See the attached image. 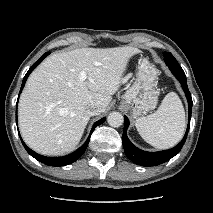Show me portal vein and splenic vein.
<instances>
[{"label":"portal vein and splenic vein","instance_id":"18ae733b","mask_svg":"<svg viewBox=\"0 0 213 213\" xmlns=\"http://www.w3.org/2000/svg\"><path fill=\"white\" fill-rule=\"evenodd\" d=\"M80 79H81L82 81H85V80L87 79L86 72L82 71V72L80 73Z\"/></svg>","mask_w":213,"mask_h":213}]
</instances>
